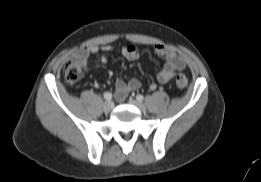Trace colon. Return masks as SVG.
<instances>
[{
  "mask_svg": "<svg viewBox=\"0 0 261 182\" xmlns=\"http://www.w3.org/2000/svg\"><path fill=\"white\" fill-rule=\"evenodd\" d=\"M82 76V65L77 61H69L64 67V79L68 85H75ZM187 78L184 75H178L175 84L178 88L187 86Z\"/></svg>",
  "mask_w": 261,
  "mask_h": 182,
  "instance_id": "1",
  "label": "colon"
}]
</instances>
